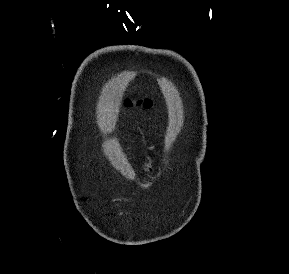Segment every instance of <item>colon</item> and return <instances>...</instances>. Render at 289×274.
Returning a JSON list of instances; mask_svg holds the SVG:
<instances>
[{"instance_id": "5ec220e1", "label": "colon", "mask_w": 289, "mask_h": 274, "mask_svg": "<svg viewBox=\"0 0 289 274\" xmlns=\"http://www.w3.org/2000/svg\"><path fill=\"white\" fill-rule=\"evenodd\" d=\"M138 104H143L145 107H150V105H151V102L149 101V100H145V101H143V102H138ZM128 105H132V102L131 101H128Z\"/></svg>"}]
</instances>
